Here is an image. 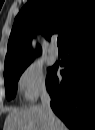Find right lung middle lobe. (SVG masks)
<instances>
[{
    "label": "right lung middle lobe",
    "instance_id": "right-lung-middle-lobe-1",
    "mask_svg": "<svg viewBox=\"0 0 95 130\" xmlns=\"http://www.w3.org/2000/svg\"><path fill=\"white\" fill-rule=\"evenodd\" d=\"M29 64L17 68H13V69L4 70L5 90H6V96L8 100L15 97L18 79ZM51 71L52 68H49L47 78L49 77Z\"/></svg>",
    "mask_w": 95,
    "mask_h": 130
}]
</instances>
